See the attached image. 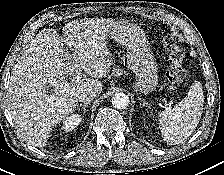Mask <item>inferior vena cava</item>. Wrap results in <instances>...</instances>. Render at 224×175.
Returning <instances> with one entry per match:
<instances>
[{"instance_id":"602c4592","label":"inferior vena cava","mask_w":224,"mask_h":175,"mask_svg":"<svg viewBox=\"0 0 224 175\" xmlns=\"http://www.w3.org/2000/svg\"><path fill=\"white\" fill-rule=\"evenodd\" d=\"M97 95L96 91H83L78 95V100L80 102H89L91 100H93Z\"/></svg>"}]
</instances>
